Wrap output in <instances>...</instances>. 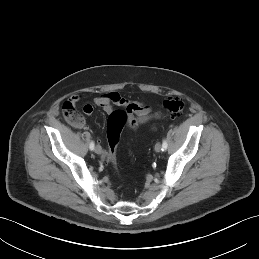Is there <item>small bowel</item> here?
Masks as SVG:
<instances>
[{"label":"small bowel","mask_w":259,"mask_h":259,"mask_svg":"<svg viewBox=\"0 0 259 259\" xmlns=\"http://www.w3.org/2000/svg\"><path fill=\"white\" fill-rule=\"evenodd\" d=\"M78 100L79 97H74ZM94 104L101 108L103 111L110 113L113 111L114 106H121L125 109L129 116V127L132 130L137 129L139 126L147 123L150 120L160 118V114L153 112L152 109L143 101L129 100L123 97L119 92L109 91L97 95L94 98ZM85 114L90 115L93 112V107L87 104L83 107ZM76 127L86 128V124L82 121Z\"/></svg>","instance_id":"c3829d8e"}]
</instances>
